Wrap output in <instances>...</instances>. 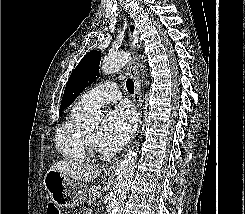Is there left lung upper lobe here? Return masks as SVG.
Returning <instances> with one entry per match:
<instances>
[{
	"label": "left lung upper lobe",
	"mask_w": 245,
	"mask_h": 214,
	"mask_svg": "<svg viewBox=\"0 0 245 214\" xmlns=\"http://www.w3.org/2000/svg\"><path fill=\"white\" fill-rule=\"evenodd\" d=\"M134 26H131V30ZM100 51L88 52L71 73L61 101L60 113L78 97V95L99 76Z\"/></svg>",
	"instance_id": "5c2ea615"
}]
</instances>
